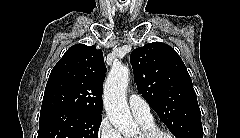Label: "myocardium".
Listing matches in <instances>:
<instances>
[{"label":"myocardium","instance_id":"obj_1","mask_svg":"<svg viewBox=\"0 0 240 138\" xmlns=\"http://www.w3.org/2000/svg\"><path fill=\"white\" fill-rule=\"evenodd\" d=\"M158 136L170 138L168 132L157 126L142 128L137 138H156Z\"/></svg>","mask_w":240,"mask_h":138}]
</instances>
